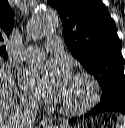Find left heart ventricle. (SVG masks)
<instances>
[{
	"label": "left heart ventricle",
	"instance_id": "left-heart-ventricle-1",
	"mask_svg": "<svg viewBox=\"0 0 125 128\" xmlns=\"http://www.w3.org/2000/svg\"><path fill=\"white\" fill-rule=\"evenodd\" d=\"M87 94L88 89L86 85L72 79L70 88L67 92L65 99L63 100V103L67 105H76L83 101Z\"/></svg>",
	"mask_w": 125,
	"mask_h": 128
}]
</instances>
